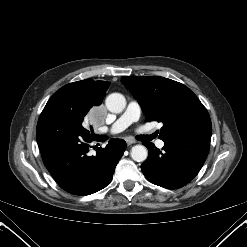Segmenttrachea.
<instances>
[{
	"label": "trachea",
	"instance_id": "3493384b",
	"mask_svg": "<svg viewBox=\"0 0 247 247\" xmlns=\"http://www.w3.org/2000/svg\"><path fill=\"white\" fill-rule=\"evenodd\" d=\"M140 139L143 141H149L152 139V136H148V135H141Z\"/></svg>",
	"mask_w": 247,
	"mask_h": 247
}]
</instances>
